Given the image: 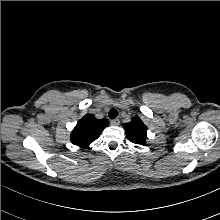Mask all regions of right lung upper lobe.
Instances as JSON below:
<instances>
[{"label":"right lung upper lobe","mask_w":220,"mask_h":220,"mask_svg":"<svg viewBox=\"0 0 220 220\" xmlns=\"http://www.w3.org/2000/svg\"><path fill=\"white\" fill-rule=\"evenodd\" d=\"M109 125L106 119H96L92 114H86L80 119L71 133V142L80 147H88Z\"/></svg>","instance_id":"right-lung-upper-lobe-1"}]
</instances>
